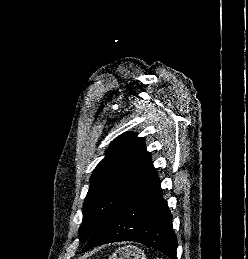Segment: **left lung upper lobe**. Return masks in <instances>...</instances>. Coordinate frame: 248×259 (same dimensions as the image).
<instances>
[{
    "label": "left lung upper lobe",
    "mask_w": 248,
    "mask_h": 259,
    "mask_svg": "<svg viewBox=\"0 0 248 259\" xmlns=\"http://www.w3.org/2000/svg\"><path fill=\"white\" fill-rule=\"evenodd\" d=\"M160 184L144 139L127 133L109 147L91 176L80 241L91 238L119 212Z\"/></svg>",
    "instance_id": "1"
}]
</instances>
